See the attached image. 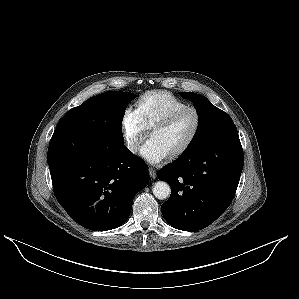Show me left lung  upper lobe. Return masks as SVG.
Segmentation results:
<instances>
[{"label":"left lung upper lobe","mask_w":299,"mask_h":299,"mask_svg":"<svg viewBox=\"0 0 299 299\" xmlns=\"http://www.w3.org/2000/svg\"><path fill=\"white\" fill-rule=\"evenodd\" d=\"M180 95L192 101L199 117L196 134L184 152L204 146L217 134L235 126L230 116L214 106L206 97L193 92H180Z\"/></svg>","instance_id":"5c2ea615"}]
</instances>
